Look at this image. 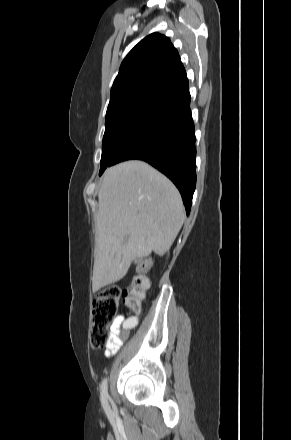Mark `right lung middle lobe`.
<instances>
[{
	"instance_id": "dd1d6c3e",
	"label": "right lung middle lobe",
	"mask_w": 291,
	"mask_h": 440,
	"mask_svg": "<svg viewBox=\"0 0 291 440\" xmlns=\"http://www.w3.org/2000/svg\"><path fill=\"white\" fill-rule=\"evenodd\" d=\"M154 99L135 97L108 105L99 175L109 166L114 154L138 125Z\"/></svg>"
}]
</instances>
